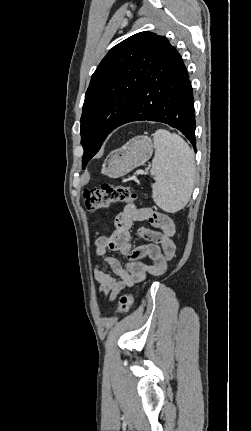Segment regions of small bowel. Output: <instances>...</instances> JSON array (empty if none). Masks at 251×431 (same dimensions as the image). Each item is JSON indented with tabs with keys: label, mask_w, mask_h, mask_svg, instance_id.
Segmentation results:
<instances>
[{
	"label": "small bowel",
	"mask_w": 251,
	"mask_h": 431,
	"mask_svg": "<svg viewBox=\"0 0 251 431\" xmlns=\"http://www.w3.org/2000/svg\"><path fill=\"white\" fill-rule=\"evenodd\" d=\"M148 220L159 230L140 228L139 235L150 243L133 247L130 229L135 222ZM175 224L173 220L149 208H137L130 204L116 216L115 228L110 235H103L95 241V255L103 259L94 269V279L100 294L112 302L127 287L142 282L147 275H161L167 269L168 262L174 257L176 246L173 241ZM117 251L127 262H120L108 255ZM150 258L151 265L143 263V258Z\"/></svg>",
	"instance_id": "c3829d8e"
}]
</instances>
